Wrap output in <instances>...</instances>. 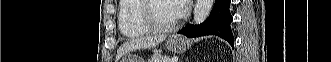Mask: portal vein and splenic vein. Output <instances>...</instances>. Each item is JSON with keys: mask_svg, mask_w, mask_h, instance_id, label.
Masks as SVG:
<instances>
[{"mask_svg": "<svg viewBox=\"0 0 331 62\" xmlns=\"http://www.w3.org/2000/svg\"><path fill=\"white\" fill-rule=\"evenodd\" d=\"M177 59H178V58H176V57H175V58H173V61H172V62L176 61Z\"/></svg>", "mask_w": 331, "mask_h": 62, "instance_id": "portal-vein-and-splenic-vein-1", "label": "portal vein and splenic vein"}]
</instances>
